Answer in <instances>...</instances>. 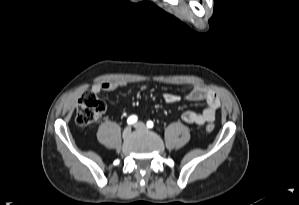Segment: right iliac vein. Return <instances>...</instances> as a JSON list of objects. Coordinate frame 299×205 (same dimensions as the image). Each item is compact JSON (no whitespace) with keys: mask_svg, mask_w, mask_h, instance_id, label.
Instances as JSON below:
<instances>
[{"mask_svg":"<svg viewBox=\"0 0 299 205\" xmlns=\"http://www.w3.org/2000/svg\"><path fill=\"white\" fill-rule=\"evenodd\" d=\"M131 133V128L130 127H126L122 133V136L124 139H126Z\"/></svg>","mask_w":299,"mask_h":205,"instance_id":"63e3f726","label":"right iliac vein"}]
</instances>
